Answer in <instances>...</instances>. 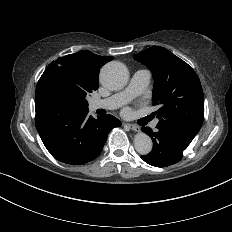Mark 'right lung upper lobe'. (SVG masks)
I'll use <instances>...</instances> for the list:
<instances>
[{"label": "right lung upper lobe", "instance_id": "1", "mask_svg": "<svg viewBox=\"0 0 232 232\" xmlns=\"http://www.w3.org/2000/svg\"><path fill=\"white\" fill-rule=\"evenodd\" d=\"M113 58L112 56H99L90 51H80L58 58L52 64L84 81L98 85L100 68ZM38 98L40 97L36 95L35 99Z\"/></svg>", "mask_w": 232, "mask_h": 232}]
</instances>
